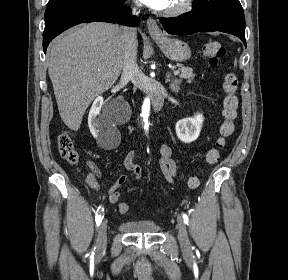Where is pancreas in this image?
<instances>
[{
	"label": "pancreas",
	"instance_id": "pancreas-1",
	"mask_svg": "<svg viewBox=\"0 0 288 280\" xmlns=\"http://www.w3.org/2000/svg\"><path fill=\"white\" fill-rule=\"evenodd\" d=\"M177 67L181 69V75L180 77L183 79H186L189 83L192 82V80L195 77V74L193 73V70L189 67H185L182 64H177Z\"/></svg>",
	"mask_w": 288,
	"mask_h": 280
}]
</instances>
